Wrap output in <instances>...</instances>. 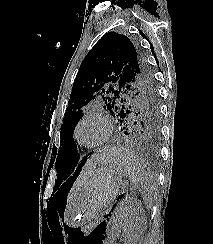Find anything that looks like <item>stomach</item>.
Returning <instances> with one entry per match:
<instances>
[{"instance_id":"1","label":"stomach","mask_w":213,"mask_h":244,"mask_svg":"<svg viewBox=\"0 0 213 244\" xmlns=\"http://www.w3.org/2000/svg\"><path fill=\"white\" fill-rule=\"evenodd\" d=\"M108 153V158L99 163L76 190L74 199L64 212L65 224L78 227L90 222L109 206L122 190L126 171H118L114 164L113 150Z\"/></svg>"}]
</instances>
